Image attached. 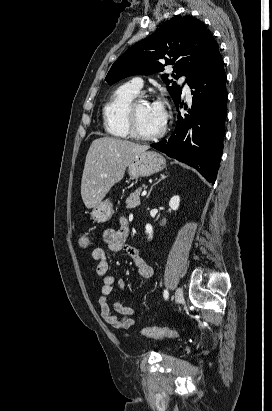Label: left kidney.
Returning a JSON list of instances; mask_svg holds the SVG:
<instances>
[{"instance_id":"5707ae66","label":"left kidney","mask_w":272,"mask_h":411,"mask_svg":"<svg viewBox=\"0 0 272 411\" xmlns=\"http://www.w3.org/2000/svg\"><path fill=\"white\" fill-rule=\"evenodd\" d=\"M180 205V197L179 196H173L170 201H169V206L172 210L176 211L179 208ZM146 233L148 234V239H152L153 237V227L151 224H146L145 226Z\"/></svg>"}]
</instances>
